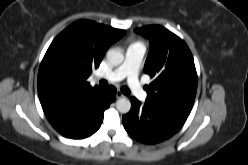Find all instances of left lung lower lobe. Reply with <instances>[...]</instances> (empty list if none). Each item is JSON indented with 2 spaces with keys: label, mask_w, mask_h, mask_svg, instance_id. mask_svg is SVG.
I'll list each match as a JSON object with an SVG mask.
<instances>
[{
  "label": "left lung lower lobe",
  "mask_w": 248,
  "mask_h": 165,
  "mask_svg": "<svg viewBox=\"0 0 248 165\" xmlns=\"http://www.w3.org/2000/svg\"><path fill=\"white\" fill-rule=\"evenodd\" d=\"M131 110L122 121L128 134L139 142L154 144L173 136L185 123L188 115L145 101L141 104L131 97Z\"/></svg>",
  "instance_id": "0a47b994"
}]
</instances>
